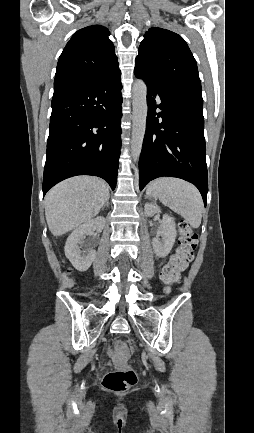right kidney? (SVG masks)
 <instances>
[{"label":"right kidney","instance_id":"ca27d5eb","mask_svg":"<svg viewBox=\"0 0 254 433\" xmlns=\"http://www.w3.org/2000/svg\"><path fill=\"white\" fill-rule=\"evenodd\" d=\"M104 225L105 218L99 216L76 228L68 237L65 244V255L77 270L87 271L96 255L95 250L83 247L85 235L91 234L94 230L101 232Z\"/></svg>","mask_w":254,"mask_h":433}]
</instances>
